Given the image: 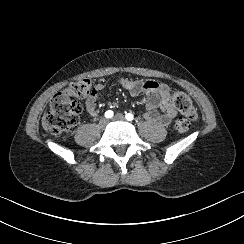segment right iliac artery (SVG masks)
Segmentation results:
<instances>
[{
	"instance_id": "obj_1",
	"label": "right iliac artery",
	"mask_w": 244,
	"mask_h": 244,
	"mask_svg": "<svg viewBox=\"0 0 244 244\" xmlns=\"http://www.w3.org/2000/svg\"><path fill=\"white\" fill-rule=\"evenodd\" d=\"M113 115H114V113L111 110H108V111L105 112V117L106 118H111V117H113Z\"/></svg>"
}]
</instances>
